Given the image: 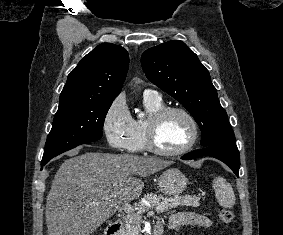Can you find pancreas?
Returning a JSON list of instances; mask_svg holds the SVG:
<instances>
[{
	"instance_id": "pancreas-1",
	"label": "pancreas",
	"mask_w": 283,
	"mask_h": 235,
	"mask_svg": "<svg viewBox=\"0 0 283 235\" xmlns=\"http://www.w3.org/2000/svg\"><path fill=\"white\" fill-rule=\"evenodd\" d=\"M144 200L149 202L158 213L166 212L178 206H199L200 198L196 196L184 195L174 196L171 198L157 194H146ZM138 212L125 217L124 235H141V213L147 211V207L143 202L137 204Z\"/></svg>"
}]
</instances>
